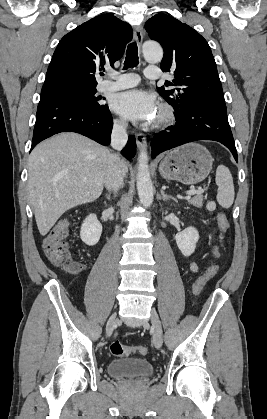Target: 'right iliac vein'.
<instances>
[{"mask_svg": "<svg viewBox=\"0 0 267 419\" xmlns=\"http://www.w3.org/2000/svg\"><path fill=\"white\" fill-rule=\"evenodd\" d=\"M117 321H118V319H117V315H116V314H113V315L109 318V320H108V322H107V325H106V335H107V336H110V335L112 334L113 329H114V327H115V325H116Z\"/></svg>", "mask_w": 267, "mask_h": 419, "instance_id": "1", "label": "right iliac vein"}]
</instances>
